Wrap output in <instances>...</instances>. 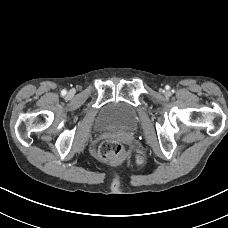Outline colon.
Returning <instances> with one entry per match:
<instances>
[{"instance_id": "1", "label": "colon", "mask_w": 228, "mask_h": 228, "mask_svg": "<svg viewBox=\"0 0 228 228\" xmlns=\"http://www.w3.org/2000/svg\"><path fill=\"white\" fill-rule=\"evenodd\" d=\"M124 147L123 145L115 140L104 141L99 147V156L102 159H110L119 157L123 154Z\"/></svg>"}]
</instances>
